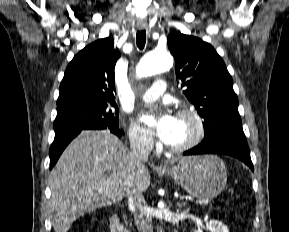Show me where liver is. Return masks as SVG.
Here are the masks:
<instances>
[{"label":"liver","instance_id":"liver-1","mask_svg":"<svg viewBox=\"0 0 289 232\" xmlns=\"http://www.w3.org/2000/svg\"><path fill=\"white\" fill-rule=\"evenodd\" d=\"M175 159L169 163H175ZM150 184L145 165L130 166L129 151L108 131H83L64 150L50 174V212L55 232H67L85 213L122 201Z\"/></svg>","mask_w":289,"mask_h":232}]
</instances>
